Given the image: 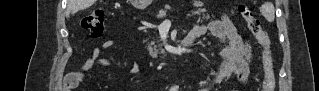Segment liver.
Segmentation results:
<instances>
[{
  "label": "liver",
  "instance_id": "obj_1",
  "mask_svg": "<svg viewBox=\"0 0 319 91\" xmlns=\"http://www.w3.org/2000/svg\"><path fill=\"white\" fill-rule=\"evenodd\" d=\"M95 0H71L69 6V12L75 14L80 10H84L93 5Z\"/></svg>",
  "mask_w": 319,
  "mask_h": 91
}]
</instances>
